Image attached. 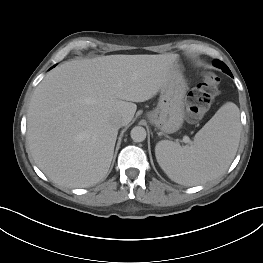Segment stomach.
<instances>
[{
	"label": "stomach",
	"mask_w": 263,
	"mask_h": 263,
	"mask_svg": "<svg viewBox=\"0 0 263 263\" xmlns=\"http://www.w3.org/2000/svg\"><path fill=\"white\" fill-rule=\"evenodd\" d=\"M188 86L180 73L172 77L161 89L157 107L147 113V118L162 133L178 131L184 121V98Z\"/></svg>",
	"instance_id": "obj_1"
}]
</instances>
